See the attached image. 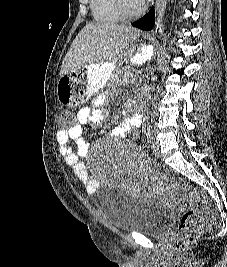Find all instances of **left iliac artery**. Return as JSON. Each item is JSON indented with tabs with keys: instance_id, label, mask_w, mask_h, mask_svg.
Segmentation results:
<instances>
[{
	"instance_id": "obj_1",
	"label": "left iliac artery",
	"mask_w": 227,
	"mask_h": 267,
	"mask_svg": "<svg viewBox=\"0 0 227 267\" xmlns=\"http://www.w3.org/2000/svg\"><path fill=\"white\" fill-rule=\"evenodd\" d=\"M147 140L149 143H152V140H153V132L152 131H148L147 133Z\"/></svg>"
}]
</instances>
